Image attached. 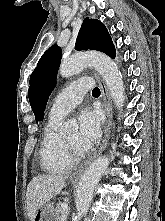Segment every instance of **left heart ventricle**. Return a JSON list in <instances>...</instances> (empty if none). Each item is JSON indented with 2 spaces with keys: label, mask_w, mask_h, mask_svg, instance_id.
I'll return each mask as SVG.
<instances>
[{
  "label": "left heart ventricle",
  "mask_w": 165,
  "mask_h": 221,
  "mask_svg": "<svg viewBox=\"0 0 165 221\" xmlns=\"http://www.w3.org/2000/svg\"><path fill=\"white\" fill-rule=\"evenodd\" d=\"M65 138L78 150L84 151V149L80 146L78 142V132L73 131L65 135Z\"/></svg>",
  "instance_id": "obj_1"
}]
</instances>
